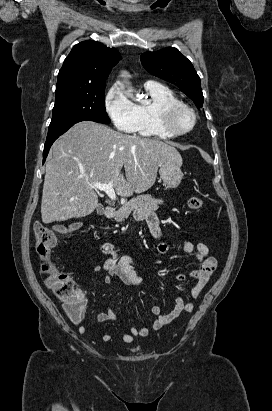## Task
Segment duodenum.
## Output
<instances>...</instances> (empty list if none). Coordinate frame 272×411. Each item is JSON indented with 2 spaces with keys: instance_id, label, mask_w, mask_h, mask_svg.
<instances>
[{
  "instance_id": "1",
  "label": "duodenum",
  "mask_w": 272,
  "mask_h": 411,
  "mask_svg": "<svg viewBox=\"0 0 272 411\" xmlns=\"http://www.w3.org/2000/svg\"><path fill=\"white\" fill-rule=\"evenodd\" d=\"M116 209L113 207H106L103 211L102 216L106 217V218H112L114 213H115Z\"/></svg>"
}]
</instances>
